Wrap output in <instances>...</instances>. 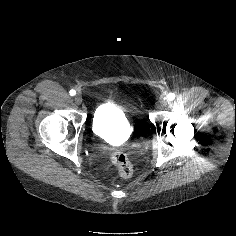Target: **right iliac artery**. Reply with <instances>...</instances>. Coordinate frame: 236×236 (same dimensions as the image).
Instances as JSON below:
<instances>
[{
  "label": "right iliac artery",
  "mask_w": 236,
  "mask_h": 236,
  "mask_svg": "<svg viewBox=\"0 0 236 236\" xmlns=\"http://www.w3.org/2000/svg\"><path fill=\"white\" fill-rule=\"evenodd\" d=\"M69 93H70L71 96H74L76 94V91L72 89V90H70Z\"/></svg>",
  "instance_id": "right-iliac-artery-1"
}]
</instances>
